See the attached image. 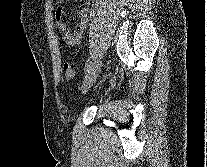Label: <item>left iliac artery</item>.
<instances>
[{"instance_id": "44dca946", "label": "left iliac artery", "mask_w": 207, "mask_h": 167, "mask_svg": "<svg viewBox=\"0 0 207 167\" xmlns=\"http://www.w3.org/2000/svg\"><path fill=\"white\" fill-rule=\"evenodd\" d=\"M90 67H91V61L88 60V61L86 62V65H85L84 72L87 73L88 70L90 69Z\"/></svg>"}]
</instances>
